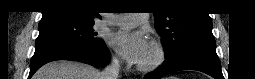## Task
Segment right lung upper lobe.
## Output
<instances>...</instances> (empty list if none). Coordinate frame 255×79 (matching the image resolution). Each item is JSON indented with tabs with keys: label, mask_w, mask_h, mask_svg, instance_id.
Segmentation results:
<instances>
[{
	"label": "right lung upper lobe",
	"mask_w": 255,
	"mask_h": 79,
	"mask_svg": "<svg viewBox=\"0 0 255 79\" xmlns=\"http://www.w3.org/2000/svg\"><path fill=\"white\" fill-rule=\"evenodd\" d=\"M42 14L41 20L70 17L94 21V17H100L94 0H49Z\"/></svg>",
	"instance_id": "cb5924a9"
}]
</instances>
